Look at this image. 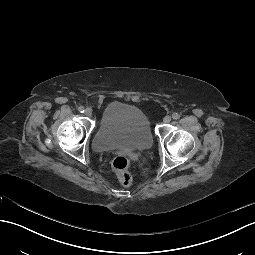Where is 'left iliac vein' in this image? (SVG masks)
Listing matches in <instances>:
<instances>
[{"instance_id":"obj_1","label":"left iliac vein","mask_w":255,"mask_h":255,"mask_svg":"<svg viewBox=\"0 0 255 255\" xmlns=\"http://www.w3.org/2000/svg\"><path fill=\"white\" fill-rule=\"evenodd\" d=\"M171 116H169V115H167V116H165L164 118H163V122L164 123H169L170 121H171Z\"/></svg>"}]
</instances>
